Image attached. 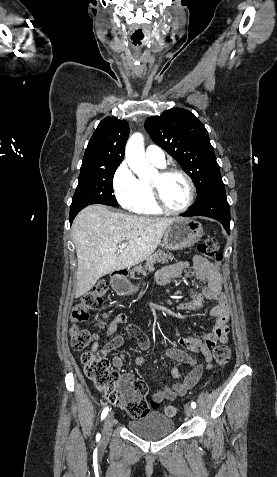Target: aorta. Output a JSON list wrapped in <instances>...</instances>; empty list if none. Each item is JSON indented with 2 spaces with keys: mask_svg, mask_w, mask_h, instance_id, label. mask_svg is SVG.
<instances>
[{
  "mask_svg": "<svg viewBox=\"0 0 277 477\" xmlns=\"http://www.w3.org/2000/svg\"><path fill=\"white\" fill-rule=\"evenodd\" d=\"M125 157L130 169L143 179H149L156 172L155 168L145 160L144 138L142 134H133L126 145Z\"/></svg>",
  "mask_w": 277,
  "mask_h": 477,
  "instance_id": "762f6f07",
  "label": "aorta"
}]
</instances>
